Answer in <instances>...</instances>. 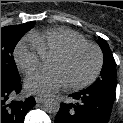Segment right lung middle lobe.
<instances>
[{"mask_svg": "<svg viewBox=\"0 0 123 123\" xmlns=\"http://www.w3.org/2000/svg\"><path fill=\"white\" fill-rule=\"evenodd\" d=\"M34 26V22L1 28V76L20 80L18 70L13 62V50L21 37Z\"/></svg>", "mask_w": 123, "mask_h": 123, "instance_id": "right-lung-middle-lobe-1", "label": "right lung middle lobe"}]
</instances>
